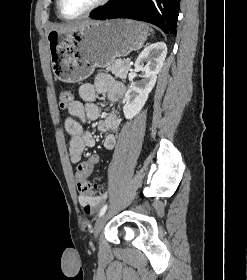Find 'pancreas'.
<instances>
[{
	"instance_id": "1",
	"label": "pancreas",
	"mask_w": 247,
	"mask_h": 280,
	"mask_svg": "<svg viewBox=\"0 0 247 280\" xmlns=\"http://www.w3.org/2000/svg\"><path fill=\"white\" fill-rule=\"evenodd\" d=\"M130 65L126 60L117 59L112 64L107 66V70H110L116 77L125 79Z\"/></svg>"
}]
</instances>
